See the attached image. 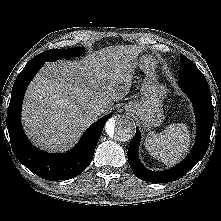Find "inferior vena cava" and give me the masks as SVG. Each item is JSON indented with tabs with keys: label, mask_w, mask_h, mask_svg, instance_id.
I'll use <instances>...</instances> for the list:
<instances>
[{
	"label": "inferior vena cava",
	"mask_w": 221,
	"mask_h": 221,
	"mask_svg": "<svg viewBox=\"0 0 221 221\" xmlns=\"http://www.w3.org/2000/svg\"><path fill=\"white\" fill-rule=\"evenodd\" d=\"M91 113L95 116H100L101 114L104 113V109L100 105H96L92 107Z\"/></svg>",
	"instance_id": "602c4592"
}]
</instances>
